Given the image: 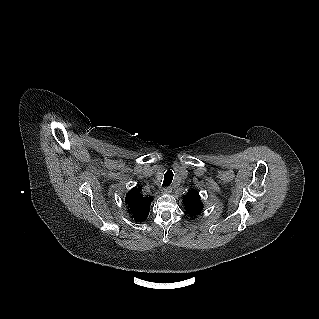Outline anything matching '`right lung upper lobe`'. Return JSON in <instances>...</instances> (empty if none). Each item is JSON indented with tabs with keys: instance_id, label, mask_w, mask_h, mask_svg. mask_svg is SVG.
<instances>
[{
	"instance_id": "1",
	"label": "right lung upper lobe",
	"mask_w": 319,
	"mask_h": 319,
	"mask_svg": "<svg viewBox=\"0 0 319 319\" xmlns=\"http://www.w3.org/2000/svg\"><path fill=\"white\" fill-rule=\"evenodd\" d=\"M151 201L152 197H143L140 188L137 187L132 188L125 197L128 212L136 222H142L147 218Z\"/></svg>"
}]
</instances>
